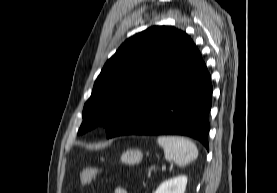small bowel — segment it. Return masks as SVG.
I'll use <instances>...</instances> for the list:
<instances>
[{
    "label": "small bowel",
    "mask_w": 277,
    "mask_h": 193,
    "mask_svg": "<svg viewBox=\"0 0 277 193\" xmlns=\"http://www.w3.org/2000/svg\"><path fill=\"white\" fill-rule=\"evenodd\" d=\"M114 193H128V191L123 187H116Z\"/></svg>",
    "instance_id": "1"
}]
</instances>
